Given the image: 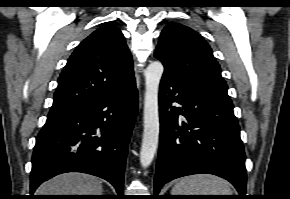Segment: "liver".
Segmentation results:
<instances>
[{"label": "liver", "mask_w": 290, "mask_h": 199, "mask_svg": "<svg viewBox=\"0 0 290 199\" xmlns=\"http://www.w3.org/2000/svg\"><path fill=\"white\" fill-rule=\"evenodd\" d=\"M38 195H101L102 181L82 173H66L44 182Z\"/></svg>", "instance_id": "1"}]
</instances>
